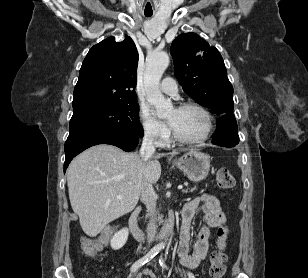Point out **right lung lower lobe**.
<instances>
[{
  "label": "right lung lower lobe",
  "mask_w": 308,
  "mask_h": 278,
  "mask_svg": "<svg viewBox=\"0 0 308 278\" xmlns=\"http://www.w3.org/2000/svg\"><path fill=\"white\" fill-rule=\"evenodd\" d=\"M139 138V136L132 134L109 131L69 134L67 141L65 142L66 158L64 163V172L76 155L93 145L111 144L125 151H132L137 146Z\"/></svg>",
  "instance_id": "right-lung-lower-lobe-1"
}]
</instances>
